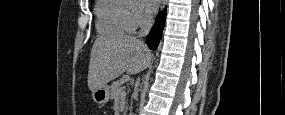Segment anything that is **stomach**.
<instances>
[{
  "mask_svg": "<svg viewBox=\"0 0 285 115\" xmlns=\"http://www.w3.org/2000/svg\"><path fill=\"white\" fill-rule=\"evenodd\" d=\"M93 100L97 104H106L110 98V87L108 85L101 86L92 92Z\"/></svg>",
  "mask_w": 285,
  "mask_h": 115,
  "instance_id": "0dacf381",
  "label": "stomach"
}]
</instances>
